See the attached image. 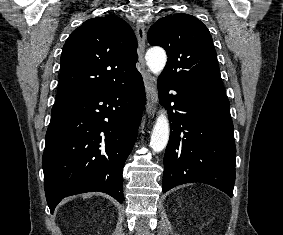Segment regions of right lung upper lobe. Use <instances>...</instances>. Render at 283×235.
I'll return each mask as SVG.
<instances>
[{"mask_svg":"<svg viewBox=\"0 0 283 235\" xmlns=\"http://www.w3.org/2000/svg\"><path fill=\"white\" fill-rule=\"evenodd\" d=\"M136 50L135 34L121 18L106 15L85 21L63 47L55 105L134 77Z\"/></svg>","mask_w":283,"mask_h":235,"instance_id":"cb5924a9","label":"right lung upper lobe"}]
</instances>
